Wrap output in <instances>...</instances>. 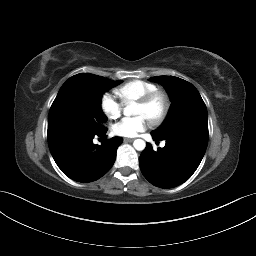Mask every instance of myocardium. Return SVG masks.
<instances>
[{"mask_svg":"<svg viewBox=\"0 0 256 256\" xmlns=\"http://www.w3.org/2000/svg\"><path fill=\"white\" fill-rule=\"evenodd\" d=\"M156 100L162 101V109L156 116L149 118V121L153 125H158L161 122H163L170 111L171 99L168 96V94L166 92L158 89V90L152 91V92L144 95L143 97H141L140 99H138L136 101L137 104L144 106V107H148L151 104H153Z\"/></svg>","mask_w":256,"mask_h":256,"instance_id":"1","label":"myocardium"}]
</instances>
